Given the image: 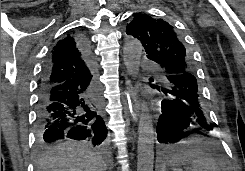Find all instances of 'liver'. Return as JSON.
I'll list each match as a JSON object with an SVG mask.
<instances>
[{"label": "liver", "mask_w": 245, "mask_h": 171, "mask_svg": "<svg viewBox=\"0 0 245 171\" xmlns=\"http://www.w3.org/2000/svg\"><path fill=\"white\" fill-rule=\"evenodd\" d=\"M103 157L76 143H64L36 162L37 171H105Z\"/></svg>", "instance_id": "obj_1"}]
</instances>
